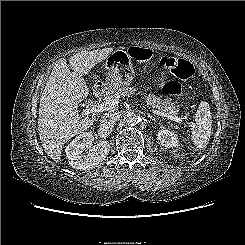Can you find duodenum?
Returning a JSON list of instances; mask_svg holds the SVG:
<instances>
[{"label": "duodenum", "mask_w": 245, "mask_h": 245, "mask_svg": "<svg viewBox=\"0 0 245 245\" xmlns=\"http://www.w3.org/2000/svg\"><path fill=\"white\" fill-rule=\"evenodd\" d=\"M104 90H105V87L103 86V85H96L94 88H93V94L95 95V96H100V95H102L103 94V92H104Z\"/></svg>", "instance_id": "410a0bca"}]
</instances>
